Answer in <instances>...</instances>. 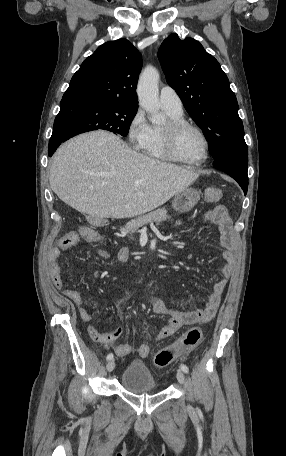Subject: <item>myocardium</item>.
I'll return each instance as SVG.
<instances>
[{
	"label": "myocardium",
	"mask_w": 286,
	"mask_h": 456,
	"mask_svg": "<svg viewBox=\"0 0 286 456\" xmlns=\"http://www.w3.org/2000/svg\"><path fill=\"white\" fill-rule=\"evenodd\" d=\"M193 129L196 132L199 133L201 138L203 139L204 142V156L197 161H189L185 160L182 157L178 155L176 152V138L177 135L180 131L184 129ZM162 135V143H163V149L165 154L170 160H173L175 162H179L181 164L189 165V166H201L209 158L210 155V142L209 139L206 135V133L203 131L202 128H200L198 125L189 122L184 119H171L163 128L161 131Z\"/></svg>",
	"instance_id": "myocardium-1"
}]
</instances>
